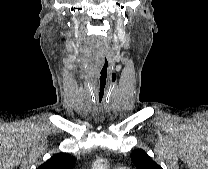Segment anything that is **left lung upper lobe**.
<instances>
[{
  "instance_id": "1",
  "label": "left lung upper lobe",
  "mask_w": 208,
  "mask_h": 169,
  "mask_svg": "<svg viewBox=\"0 0 208 169\" xmlns=\"http://www.w3.org/2000/svg\"><path fill=\"white\" fill-rule=\"evenodd\" d=\"M131 159L137 169H162L150 156L142 149H136L131 153Z\"/></svg>"
}]
</instances>
